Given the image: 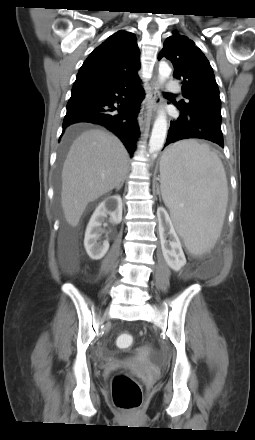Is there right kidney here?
<instances>
[{"mask_svg": "<svg viewBox=\"0 0 255 440\" xmlns=\"http://www.w3.org/2000/svg\"><path fill=\"white\" fill-rule=\"evenodd\" d=\"M107 213L110 215V222L119 224L122 221V199L114 195L101 202L95 209L87 225L84 238V247L92 260H100L109 249L108 240L100 241L103 232L101 225Z\"/></svg>", "mask_w": 255, "mask_h": 440, "instance_id": "1", "label": "right kidney"}]
</instances>
